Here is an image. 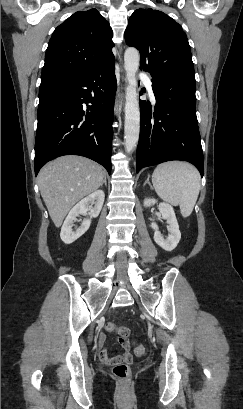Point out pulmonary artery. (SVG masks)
<instances>
[{"instance_id": "1", "label": "pulmonary artery", "mask_w": 243, "mask_h": 409, "mask_svg": "<svg viewBox=\"0 0 243 409\" xmlns=\"http://www.w3.org/2000/svg\"><path fill=\"white\" fill-rule=\"evenodd\" d=\"M140 79L142 80V82L146 85L148 92L153 95V89H152V85H151V78L148 74H141L140 75Z\"/></svg>"}]
</instances>
